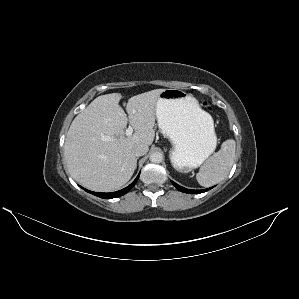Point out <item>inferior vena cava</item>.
Here are the masks:
<instances>
[{
	"instance_id": "1",
	"label": "inferior vena cava",
	"mask_w": 299,
	"mask_h": 299,
	"mask_svg": "<svg viewBox=\"0 0 299 299\" xmlns=\"http://www.w3.org/2000/svg\"><path fill=\"white\" fill-rule=\"evenodd\" d=\"M148 146L147 145H144V144H140V145H137L135 148H134V154L135 156L139 157V156H143L145 155L147 152H148Z\"/></svg>"
}]
</instances>
